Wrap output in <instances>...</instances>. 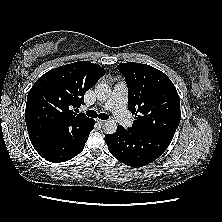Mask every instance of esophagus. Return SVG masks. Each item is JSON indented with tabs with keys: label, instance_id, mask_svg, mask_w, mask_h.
I'll return each instance as SVG.
<instances>
[{
	"label": "esophagus",
	"instance_id": "34e87169",
	"mask_svg": "<svg viewBox=\"0 0 222 222\" xmlns=\"http://www.w3.org/2000/svg\"><path fill=\"white\" fill-rule=\"evenodd\" d=\"M97 123L103 125V124L105 123V121H104V120H100V119H98V120H97Z\"/></svg>",
	"mask_w": 222,
	"mask_h": 222
}]
</instances>
